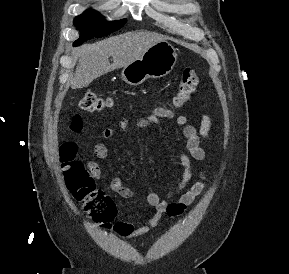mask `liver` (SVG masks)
Masks as SVG:
<instances>
[{
	"mask_svg": "<svg viewBox=\"0 0 289 274\" xmlns=\"http://www.w3.org/2000/svg\"><path fill=\"white\" fill-rule=\"evenodd\" d=\"M162 40L163 38L155 33L129 32L84 45L76 52L78 64L71 79L72 88L87 87L101 75L125 67ZM110 56L113 57V63L109 62Z\"/></svg>",
	"mask_w": 289,
	"mask_h": 274,
	"instance_id": "liver-1",
	"label": "liver"
}]
</instances>
